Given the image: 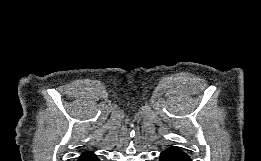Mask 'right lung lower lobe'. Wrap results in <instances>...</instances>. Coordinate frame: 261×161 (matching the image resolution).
I'll return each instance as SVG.
<instances>
[{
  "label": "right lung lower lobe",
  "mask_w": 261,
  "mask_h": 161,
  "mask_svg": "<svg viewBox=\"0 0 261 161\" xmlns=\"http://www.w3.org/2000/svg\"><path fill=\"white\" fill-rule=\"evenodd\" d=\"M78 161H99L96 155H94L92 152H84L80 157Z\"/></svg>",
  "instance_id": "1"
}]
</instances>
